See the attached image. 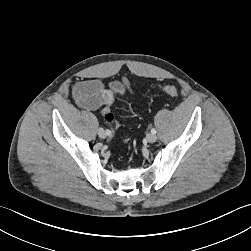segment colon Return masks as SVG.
<instances>
[{
	"instance_id": "colon-1",
	"label": "colon",
	"mask_w": 251,
	"mask_h": 251,
	"mask_svg": "<svg viewBox=\"0 0 251 251\" xmlns=\"http://www.w3.org/2000/svg\"><path fill=\"white\" fill-rule=\"evenodd\" d=\"M162 91L164 93H166L167 95L171 96V97H177L178 96V90L176 87L171 86V85H166L162 87ZM105 120L109 123L112 124L114 121V114L111 110H108L105 113Z\"/></svg>"
}]
</instances>
